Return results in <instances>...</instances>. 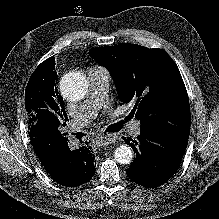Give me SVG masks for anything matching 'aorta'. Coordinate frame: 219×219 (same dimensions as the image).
I'll list each match as a JSON object with an SVG mask.
<instances>
[{
  "mask_svg": "<svg viewBox=\"0 0 219 219\" xmlns=\"http://www.w3.org/2000/svg\"><path fill=\"white\" fill-rule=\"evenodd\" d=\"M62 95L70 101L82 99L88 90V81L82 74L64 77L60 85ZM115 160L120 164H130L134 154L128 145H120L114 151Z\"/></svg>",
  "mask_w": 219,
  "mask_h": 219,
  "instance_id": "aorta-1",
  "label": "aorta"
}]
</instances>
